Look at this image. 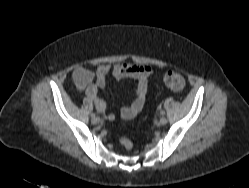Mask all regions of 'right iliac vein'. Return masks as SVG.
I'll list each match as a JSON object with an SVG mask.
<instances>
[{
    "label": "right iliac vein",
    "mask_w": 249,
    "mask_h": 188,
    "mask_svg": "<svg viewBox=\"0 0 249 188\" xmlns=\"http://www.w3.org/2000/svg\"><path fill=\"white\" fill-rule=\"evenodd\" d=\"M91 121H92L93 124H98L100 122V118L95 116V117L92 118Z\"/></svg>",
    "instance_id": "right-iliac-vein-1"
}]
</instances>
